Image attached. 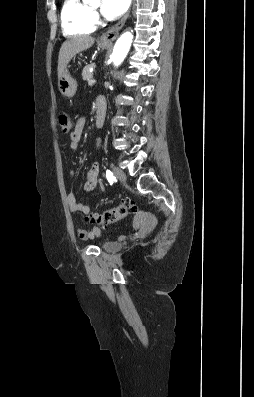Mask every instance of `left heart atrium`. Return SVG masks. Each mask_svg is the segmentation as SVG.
<instances>
[{
	"mask_svg": "<svg viewBox=\"0 0 254 397\" xmlns=\"http://www.w3.org/2000/svg\"><path fill=\"white\" fill-rule=\"evenodd\" d=\"M131 0H102L101 12L107 18L121 16L129 7Z\"/></svg>",
	"mask_w": 254,
	"mask_h": 397,
	"instance_id": "39dd6f15",
	"label": "left heart atrium"
}]
</instances>
